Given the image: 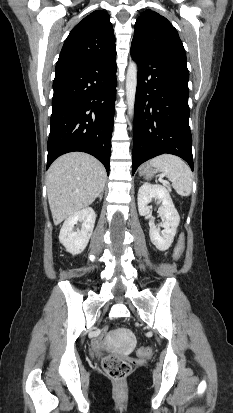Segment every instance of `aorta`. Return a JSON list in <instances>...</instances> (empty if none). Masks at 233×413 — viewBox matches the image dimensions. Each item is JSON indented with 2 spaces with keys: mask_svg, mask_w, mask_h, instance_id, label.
I'll return each mask as SVG.
<instances>
[{
  "mask_svg": "<svg viewBox=\"0 0 233 413\" xmlns=\"http://www.w3.org/2000/svg\"><path fill=\"white\" fill-rule=\"evenodd\" d=\"M138 67L134 61L129 63L126 74V102L128 105V115L130 118L134 115L135 96L137 88Z\"/></svg>",
  "mask_w": 233,
  "mask_h": 413,
  "instance_id": "1",
  "label": "aorta"
}]
</instances>
